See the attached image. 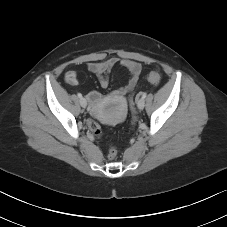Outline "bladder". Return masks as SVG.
<instances>
[{
  "mask_svg": "<svg viewBox=\"0 0 227 227\" xmlns=\"http://www.w3.org/2000/svg\"><path fill=\"white\" fill-rule=\"evenodd\" d=\"M106 121L109 122V123H114L117 121L116 118L112 117V116H106Z\"/></svg>",
  "mask_w": 227,
  "mask_h": 227,
  "instance_id": "31cf9c89",
  "label": "bladder"
}]
</instances>
